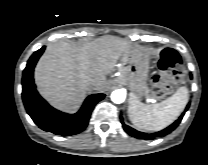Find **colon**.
I'll list each match as a JSON object with an SVG mask.
<instances>
[{
	"instance_id": "1",
	"label": "colon",
	"mask_w": 208,
	"mask_h": 165,
	"mask_svg": "<svg viewBox=\"0 0 208 165\" xmlns=\"http://www.w3.org/2000/svg\"><path fill=\"white\" fill-rule=\"evenodd\" d=\"M159 72L152 79V93L156 97H163L169 93L173 84L182 76V59L172 48L162 51L159 63Z\"/></svg>"
}]
</instances>
